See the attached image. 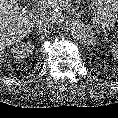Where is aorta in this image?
<instances>
[{
    "label": "aorta",
    "mask_w": 118,
    "mask_h": 118,
    "mask_svg": "<svg viewBox=\"0 0 118 118\" xmlns=\"http://www.w3.org/2000/svg\"><path fill=\"white\" fill-rule=\"evenodd\" d=\"M71 35L80 43L87 46L95 44L93 33L79 21H70L67 24Z\"/></svg>",
    "instance_id": "1"
}]
</instances>
